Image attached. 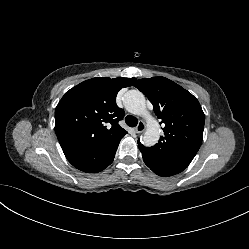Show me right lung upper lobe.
<instances>
[{"label": "right lung upper lobe", "instance_id": "obj_1", "mask_svg": "<svg viewBox=\"0 0 249 249\" xmlns=\"http://www.w3.org/2000/svg\"><path fill=\"white\" fill-rule=\"evenodd\" d=\"M135 81L97 77L67 91L55 109V132L63 152L99 148L123 138L127 131L118 122L124 110L115 99L120 89Z\"/></svg>", "mask_w": 249, "mask_h": 249}]
</instances>
